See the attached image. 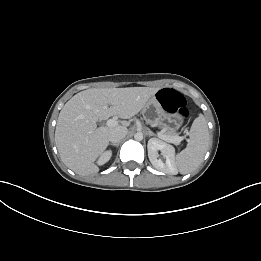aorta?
Here are the masks:
<instances>
[{"label":"aorta","instance_id":"aorta-1","mask_svg":"<svg viewBox=\"0 0 261 261\" xmlns=\"http://www.w3.org/2000/svg\"><path fill=\"white\" fill-rule=\"evenodd\" d=\"M134 139L137 140V141H141L143 139V134L140 133V132H137L135 135H134Z\"/></svg>","mask_w":261,"mask_h":261}]
</instances>
